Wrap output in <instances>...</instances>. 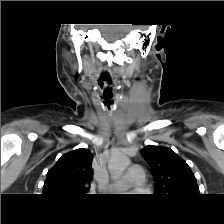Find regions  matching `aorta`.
<instances>
[{
  "mask_svg": "<svg viewBox=\"0 0 224 224\" xmlns=\"http://www.w3.org/2000/svg\"><path fill=\"white\" fill-rule=\"evenodd\" d=\"M130 159L124 154H114L108 162V169L111 176L115 179L122 176L125 169L129 166Z\"/></svg>",
  "mask_w": 224,
  "mask_h": 224,
  "instance_id": "1",
  "label": "aorta"
}]
</instances>
